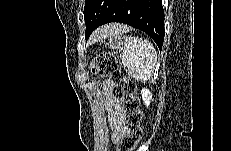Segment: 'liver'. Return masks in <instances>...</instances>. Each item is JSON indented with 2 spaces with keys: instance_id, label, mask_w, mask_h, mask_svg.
<instances>
[{
  "instance_id": "6515ba94",
  "label": "liver",
  "mask_w": 231,
  "mask_h": 151,
  "mask_svg": "<svg viewBox=\"0 0 231 151\" xmlns=\"http://www.w3.org/2000/svg\"><path fill=\"white\" fill-rule=\"evenodd\" d=\"M122 29H123V26L120 24L104 25L94 32L91 40L93 41V40L104 38L107 36L117 35L121 32Z\"/></svg>"
}]
</instances>
